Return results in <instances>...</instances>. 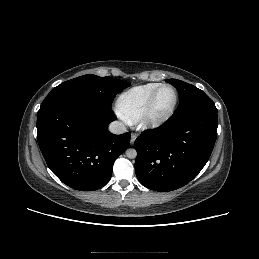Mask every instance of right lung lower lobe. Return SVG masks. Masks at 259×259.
<instances>
[{"label": "right lung lower lobe", "instance_id": "1", "mask_svg": "<svg viewBox=\"0 0 259 259\" xmlns=\"http://www.w3.org/2000/svg\"><path fill=\"white\" fill-rule=\"evenodd\" d=\"M110 108L90 101L61 99L37 114V140L50 170L66 185L94 191L108 183L113 164L130 146V133L114 135Z\"/></svg>", "mask_w": 259, "mask_h": 259}]
</instances>
